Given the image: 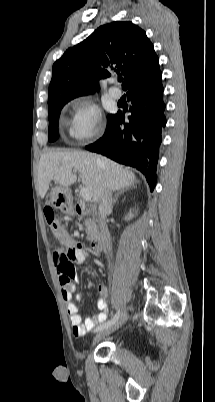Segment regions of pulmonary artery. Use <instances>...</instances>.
Segmentation results:
<instances>
[{"mask_svg":"<svg viewBox=\"0 0 215 402\" xmlns=\"http://www.w3.org/2000/svg\"><path fill=\"white\" fill-rule=\"evenodd\" d=\"M111 82L114 83V80H112ZM109 94L114 99H120L122 97L121 90L114 86L109 89Z\"/></svg>","mask_w":215,"mask_h":402,"instance_id":"e3ab8cb5","label":"pulmonary artery"}]
</instances>
